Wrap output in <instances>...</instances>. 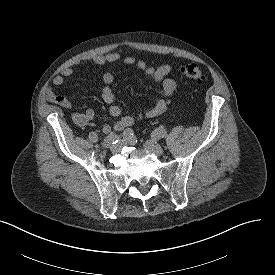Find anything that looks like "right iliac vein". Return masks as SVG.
<instances>
[{
	"instance_id": "obj_1",
	"label": "right iliac vein",
	"mask_w": 275,
	"mask_h": 275,
	"mask_svg": "<svg viewBox=\"0 0 275 275\" xmlns=\"http://www.w3.org/2000/svg\"><path fill=\"white\" fill-rule=\"evenodd\" d=\"M123 145H124V142H123V141L118 142L117 144L111 145V146H110V150H111L113 153L120 152V150L122 149Z\"/></svg>"
}]
</instances>
